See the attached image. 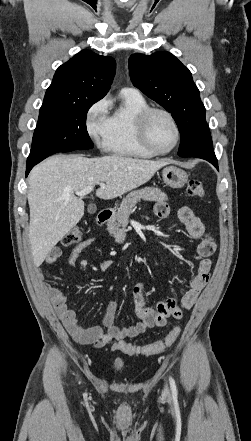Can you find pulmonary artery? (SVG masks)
<instances>
[{"mask_svg":"<svg viewBox=\"0 0 251 441\" xmlns=\"http://www.w3.org/2000/svg\"><path fill=\"white\" fill-rule=\"evenodd\" d=\"M124 89H132V90H135V89H133V88H124Z\"/></svg>","mask_w":251,"mask_h":441,"instance_id":"1","label":"pulmonary artery"}]
</instances>
